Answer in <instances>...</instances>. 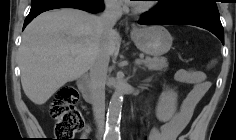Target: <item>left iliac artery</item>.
<instances>
[{
  "instance_id": "1",
  "label": "left iliac artery",
  "mask_w": 236,
  "mask_h": 140,
  "mask_svg": "<svg viewBox=\"0 0 236 140\" xmlns=\"http://www.w3.org/2000/svg\"><path fill=\"white\" fill-rule=\"evenodd\" d=\"M116 140H120V137L116 138Z\"/></svg>"
}]
</instances>
